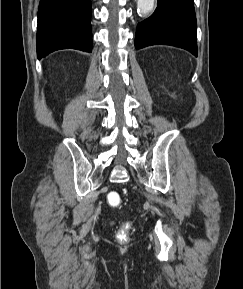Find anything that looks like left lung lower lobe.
I'll use <instances>...</instances> for the list:
<instances>
[{"label":"left lung lower lobe","mask_w":243,"mask_h":289,"mask_svg":"<svg viewBox=\"0 0 243 289\" xmlns=\"http://www.w3.org/2000/svg\"><path fill=\"white\" fill-rule=\"evenodd\" d=\"M155 12L137 25L135 47L165 44L197 50V26L193 0H158Z\"/></svg>","instance_id":"left-lung-lower-lobe-1"}]
</instances>
